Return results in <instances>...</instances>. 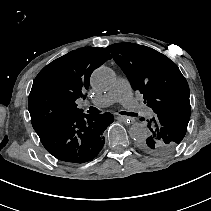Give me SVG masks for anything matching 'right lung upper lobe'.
I'll return each instance as SVG.
<instances>
[{
    "label": "right lung upper lobe",
    "mask_w": 211,
    "mask_h": 211,
    "mask_svg": "<svg viewBox=\"0 0 211 211\" xmlns=\"http://www.w3.org/2000/svg\"><path fill=\"white\" fill-rule=\"evenodd\" d=\"M111 59L105 48L85 47L52 61L36 76L28 100L35 130L81 113L76 100L84 98L91 73Z\"/></svg>",
    "instance_id": "cb5924a9"
}]
</instances>
